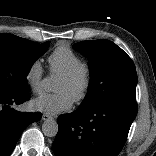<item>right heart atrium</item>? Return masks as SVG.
Listing matches in <instances>:
<instances>
[{
    "instance_id": "d8ad5b80",
    "label": "right heart atrium",
    "mask_w": 156,
    "mask_h": 156,
    "mask_svg": "<svg viewBox=\"0 0 156 156\" xmlns=\"http://www.w3.org/2000/svg\"><path fill=\"white\" fill-rule=\"evenodd\" d=\"M44 70L39 60L33 61L25 73V81L31 91L39 94L42 91Z\"/></svg>"
}]
</instances>
